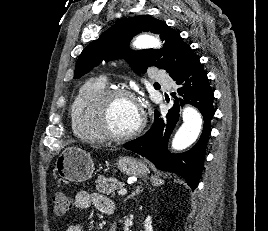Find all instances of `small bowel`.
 I'll return each mask as SVG.
<instances>
[{
  "instance_id": "small-bowel-1",
  "label": "small bowel",
  "mask_w": 268,
  "mask_h": 231,
  "mask_svg": "<svg viewBox=\"0 0 268 231\" xmlns=\"http://www.w3.org/2000/svg\"><path fill=\"white\" fill-rule=\"evenodd\" d=\"M74 206L79 210L93 207L107 215L112 214L115 209L114 202L109 197L101 193L88 191H80L76 194L74 198ZM66 231H83L82 224L76 223L70 225Z\"/></svg>"
}]
</instances>
